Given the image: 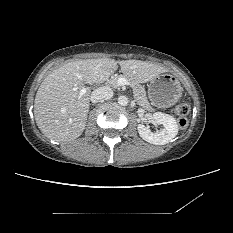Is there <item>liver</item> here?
I'll list each match as a JSON object with an SVG mask.
<instances>
[{"instance_id":"1","label":"liver","mask_w":233,"mask_h":233,"mask_svg":"<svg viewBox=\"0 0 233 233\" xmlns=\"http://www.w3.org/2000/svg\"><path fill=\"white\" fill-rule=\"evenodd\" d=\"M121 67L131 81L145 83L167 72L164 67L140 60L109 58L77 60L64 64L46 76L35 96L34 116L40 131L49 139L66 142L84 131L90 105V91L80 95L84 83H102Z\"/></svg>"}]
</instances>
